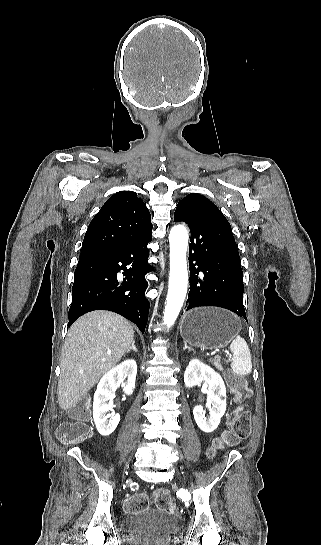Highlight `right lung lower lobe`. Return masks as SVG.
Returning a JSON list of instances; mask_svg holds the SVG:
<instances>
[{
	"label": "right lung lower lobe",
	"instance_id": "right-lung-lower-lobe-1",
	"mask_svg": "<svg viewBox=\"0 0 321 545\" xmlns=\"http://www.w3.org/2000/svg\"><path fill=\"white\" fill-rule=\"evenodd\" d=\"M152 234L119 250L80 258L74 273L72 304L68 326L93 310L116 312L135 323L142 333L148 320L149 302L145 297L148 282L147 244ZM123 270V282L117 273Z\"/></svg>",
	"mask_w": 321,
	"mask_h": 545
}]
</instances>
